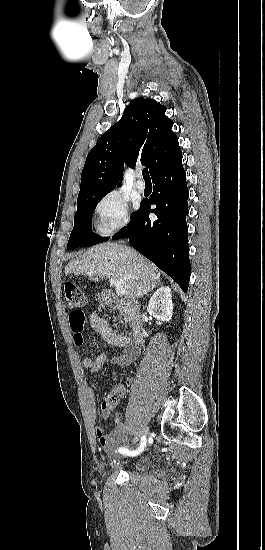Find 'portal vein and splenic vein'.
I'll return each instance as SVG.
<instances>
[{"label": "portal vein and splenic vein", "mask_w": 265, "mask_h": 550, "mask_svg": "<svg viewBox=\"0 0 265 550\" xmlns=\"http://www.w3.org/2000/svg\"><path fill=\"white\" fill-rule=\"evenodd\" d=\"M90 275L93 274L92 272L89 273ZM109 282L111 285L115 286V290L118 296H124L125 295V289L122 286V283L120 281H117L115 279L109 278Z\"/></svg>", "instance_id": "1"}]
</instances>
